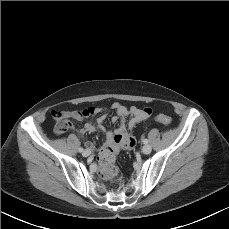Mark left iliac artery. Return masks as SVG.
<instances>
[{"instance_id":"44dca946","label":"left iliac artery","mask_w":229,"mask_h":229,"mask_svg":"<svg viewBox=\"0 0 229 229\" xmlns=\"http://www.w3.org/2000/svg\"><path fill=\"white\" fill-rule=\"evenodd\" d=\"M142 142L144 143V144H147L148 143V140L147 139H142Z\"/></svg>"}]
</instances>
